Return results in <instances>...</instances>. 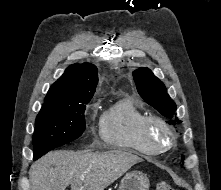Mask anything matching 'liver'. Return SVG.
<instances>
[{
  "mask_svg": "<svg viewBox=\"0 0 221 190\" xmlns=\"http://www.w3.org/2000/svg\"><path fill=\"white\" fill-rule=\"evenodd\" d=\"M143 160L124 150L104 153L56 150L33 163L31 190H104Z\"/></svg>",
  "mask_w": 221,
  "mask_h": 190,
  "instance_id": "1",
  "label": "liver"
}]
</instances>
